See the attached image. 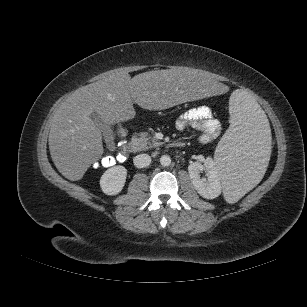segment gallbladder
Segmentation results:
<instances>
[{
  "mask_svg": "<svg viewBox=\"0 0 307 307\" xmlns=\"http://www.w3.org/2000/svg\"><path fill=\"white\" fill-rule=\"evenodd\" d=\"M91 118L94 124L101 130L106 143L113 139V131L108 123L98 113H92Z\"/></svg>",
  "mask_w": 307,
  "mask_h": 307,
  "instance_id": "gallbladder-1",
  "label": "gallbladder"
}]
</instances>
